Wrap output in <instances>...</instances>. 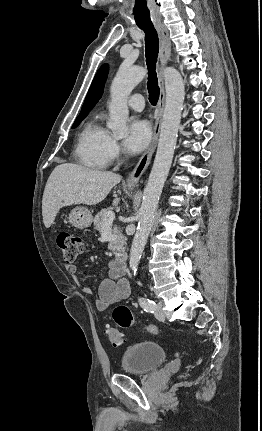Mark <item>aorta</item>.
Returning a JSON list of instances; mask_svg holds the SVG:
<instances>
[{
    "label": "aorta",
    "mask_w": 262,
    "mask_h": 431,
    "mask_svg": "<svg viewBox=\"0 0 262 431\" xmlns=\"http://www.w3.org/2000/svg\"><path fill=\"white\" fill-rule=\"evenodd\" d=\"M145 75L146 70L143 67L123 65L112 82L110 118L107 126L117 138L124 137L127 132L126 122L129 115L127 100ZM163 75L166 100L160 138L154 164L143 192L138 226L130 249L129 266L134 273L147 243L160 195L172 164L185 97V86L179 71L167 67Z\"/></svg>",
    "instance_id": "762f6f07"
}]
</instances>
